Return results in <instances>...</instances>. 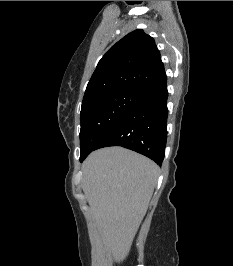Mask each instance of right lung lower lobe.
Returning a JSON list of instances; mask_svg holds the SVG:
<instances>
[{
	"label": "right lung lower lobe",
	"mask_w": 233,
	"mask_h": 266,
	"mask_svg": "<svg viewBox=\"0 0 233 266\" xmlns=\"http://www.w3.org/2000/svg\"><path fill=\"white\" fill-rule=\"evenodd\" d=\"M166 81L165 77L147 90L94 150L107 146H122L141 153L161 165L167 140ZM87 155L80 157V161L82 162Z\"/></svg>",
	"instance_id": "obj_1"
}]
</instances>
